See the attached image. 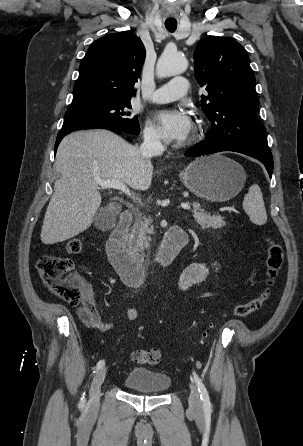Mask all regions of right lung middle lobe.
I'll return each mask as SVG.
<instances>
[{
	"label": "right lung middle lobe",
	"instance_id": "dd1d6c3e",
	"mask_svg": "<svg viewBox=\"0 0 303 446\" xmlns=\"http://www.w3.org/2000/svg\"><path fill=\"white\" fill-rule=\"evenodd\" d=\"M131 108L130 100L116 101L91 107L68 109L61 130L83 122L101 121L114 124L127 133L137 135L140 127L137 116L127 111Z\"/></svg>",
	"mask_w": 303,
	"mask_h": 446
}]
</instances>
